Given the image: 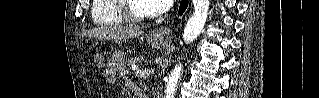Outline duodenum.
I'll return each mask as SVG.
<instances>
[{
    "label": "duodenum",
    "instance_id": "obj_1",
    "mask_svg": "<svg viewBox=\"0 0 319 98\" xmlns=\"http://www.w3.org/2000/svg\"><path fill=\"white\" fill-rule=\"evenodd\" d=\"M133 92L137 98H146V96L143 94V92L137 87L133 88Z\"/></svg>",
    "mask_w": 319,
    "mask_h": 98
}]
</instances>
